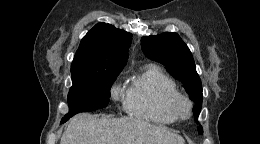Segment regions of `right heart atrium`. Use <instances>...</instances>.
Wrapping results in <instances>:
<instances>
[{"label":"right heart atrium","instance_id":"right-heart-atrium-1","mask_svg":"<svg viewBox=\"0 0 260 144\" xmlns=\"http://www.w3.org/2000/svg\"><path fill=\"white\" fill-rule=\"evenodd\" d=\"M112 95L116 99L121 98L123 96V91L120 89L119 86H114L112 88Z\"/></svg>","mask_w":260,"mask_h":144}]
</instances>
